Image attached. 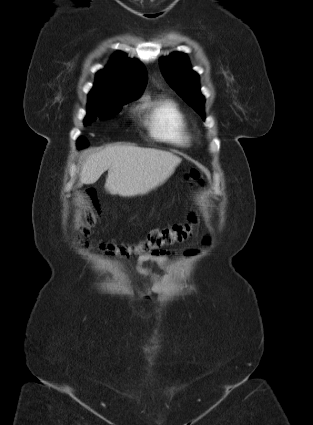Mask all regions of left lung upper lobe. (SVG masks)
I'll list each match as a JSON object with an SVG mask.
<instances>
[{"mask_svg": "<svg viewBox=\"0 0 313 425\" xmlns=\"http://www.w3.org/2000/svg\"><path fill=\"white\" fill-rule=\"evenodd\" d=\"M161 71L170 86L204 118V96L200 92L199 76L191 67L187 56L175 52L159 60Z\"/></svg>", "mask_w": 313, "mask_h": 425, "instance_id": "1", "label": "left lung upper lobe"}]
</instances>
